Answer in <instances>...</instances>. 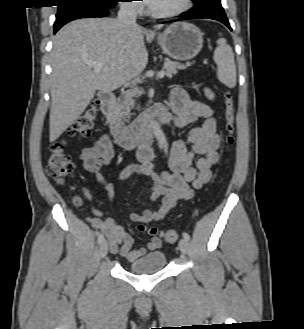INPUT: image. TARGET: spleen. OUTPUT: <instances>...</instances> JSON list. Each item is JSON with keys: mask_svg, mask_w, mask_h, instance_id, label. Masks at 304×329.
Masks as SVG:
<instances>
[{"mask_svg": "<svg viewBox=\"0 0 304 329\" xmlns=\"http://www.w3.org/2000/svg\"><path fill=\"white\" fill-rule=\"evenodd\" d=\"M217 45L213 58L218 67V79L227 87L234 88L236 86V65L232 48L224 38H220Z\"/></svg>", "mask_w": 304, "mask_h": 329, "instance_id": "1", "label": "spleen"}]
</instances>
